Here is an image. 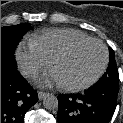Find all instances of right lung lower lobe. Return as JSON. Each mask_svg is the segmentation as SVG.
Listing matches in <instances>:
<instances>
[{"label": "right lung lower lobe", "mask_w": 123, "mask_h": 123, "mask_svg": "<svg viewBox=\"0 0 123 123\" xmlns=\"http://www.w3.org/2000/svg\"><path fill=\"white\" fill-rule=\"evenodd\" d=\"M37 101V92L16 65L1 60V123H24L26 111Z\"/></svg>", "instance_id": "1"}]
</instances>
